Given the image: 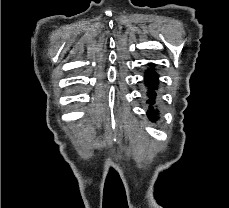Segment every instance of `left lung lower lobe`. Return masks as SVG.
<instances>
[{"label":"left lung lower lobe","mask_w":229,"mask_h":208,"mask_svg":"<svg viewBox=\"0 0 229 208\" xmlns=\"http://www.w3.org/2000/svg\"><path fill=\"white\" fill-rule=\"evenodd\" d=\"M144 83L148 88L147 96L149 99L147 103L150 104L147 116L152 122H156L159 119L158 110L153 105L157 102V94L160 88L158 75L154 71H147Z\"/></svg>","instance_id":"left-lung-lower-lobe-1"}]
</instances>
